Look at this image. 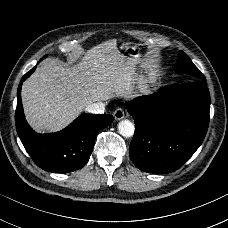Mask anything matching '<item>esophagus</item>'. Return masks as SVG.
Here are the masks:
<instances>
[{
    "label": "esophagus",
    "mask_w": 228,
    "mask_h": 228,
    "mask_svg": "<svg viewBox=\"0 0 228 228\" xmlns=\"http://www.w3.org/2000/svg\"><path fill=\"white\" fill-rule=\"evenodd\" d=\"M115 120H122L124 118V111L121 108H118L113 113Z\"/></svg>",
    "instance_id": "34e87169"
}]
</instances>
